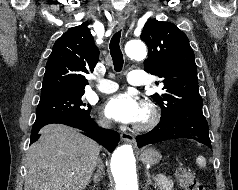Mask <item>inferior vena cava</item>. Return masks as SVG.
<instances>
[{"mask_svg": "<svg viewBox=\"0 0 238 190\" xmlns=\"http://www.w3.org/2000/svg\"><path fill=\"white\" fill-rule=\"evenodd\" d=\"M100 125L104 128H109L111 126L109 121H100Z\"/></svg>", "mask_w": 238, "mask_h": 190, "instance_id": "inferior-vena-cava-1", "label": "inferior vena cava"}]
</instances>
